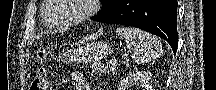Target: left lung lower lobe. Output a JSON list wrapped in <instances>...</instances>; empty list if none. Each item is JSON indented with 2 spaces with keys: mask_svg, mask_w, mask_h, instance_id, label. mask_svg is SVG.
Masks as SVG:
<instances>
[{
  "mask_svg": "<svg viewBox=\"0 0 216 90\" xmlns=\"http://www.w3.org/2000/svg\"><path fill=\"white\" fill-rule=\"evenodd\" d=\"M176 0H121L91 20L137 27L166 40L174 53L178 45Z\"/></svg>",
  "mask_w": 216,
  "mask_h": 90,
  "instance_id": "1",
  "label": "left lung lower lobe"
}]
</instances>
